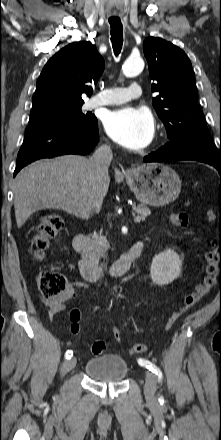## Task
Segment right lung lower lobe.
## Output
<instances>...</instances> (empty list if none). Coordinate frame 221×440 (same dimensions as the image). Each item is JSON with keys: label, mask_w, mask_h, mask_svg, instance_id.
I'll return each mask as SVG.
<instances>
[{"label": "right lung lower lobe", "mask_w": 221, "mask_h": 440, "mask_svg": "<svg viewBox=\"0 0 221 440\" xmlns=\"http://www.w3.org/2000/svg\"><path fill=\"white\" fill-rule=\"evenodd\" d=\"M99 141L98 122L90 126H70L59 122L28 125L17 156L15 175L29 163L63 154H89Z\"/></svg>", "instance_id": "1"}]
</instances>
